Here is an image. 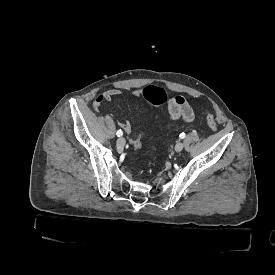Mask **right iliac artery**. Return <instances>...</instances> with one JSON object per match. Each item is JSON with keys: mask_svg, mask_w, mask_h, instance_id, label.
<instances>
[{"mask_svg": "<svg viewBox=\"0 0 275 275\" xmlns=\"http://www.w3.org/2000/svg\"><path fill=\"white\" fill-rule=\"evenodd\" d=\"M116 135H117L118 137H120V136L123 135V132H122L121 130H118V131L116 132Z\"/></svg>", "mask_w": 275, "mask_h": 275, "instance_id": "right-iliac-artery-1", "label": "right iliac artery"}]
</instances>
